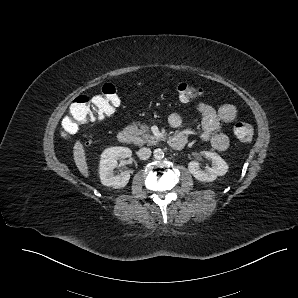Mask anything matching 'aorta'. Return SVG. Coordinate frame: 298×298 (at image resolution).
<instances>
[{
    "label": "aorta",
    "mask_w": 298,
    "mask_h": 298,
    "mask_svg": "<svg viewBox=\"0 0 298 298\" xmlns=\"http://www.w3.org/2000/svg\"><path fill=\"white\" fill-rule=\"evenodd\" d=\"M153 155L156 159H161L164 157V152L161 148H156L153 151Z\"/></svg>",
    "instance_id": "762f6f07"
}]
</instances>
